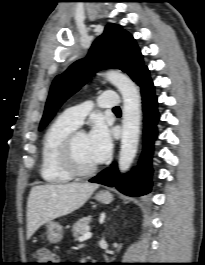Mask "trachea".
<instances>
[{"mask_svg": "<svg viewBox=\"0 0 205 265\" xmlns=\"http://www.w3.org/2000/svg\"><path fill=\"white\" fill-rule=\"evenodd\" d=\"M114 110H120V108L119 107H115Z\"/></svg>", "mask_w": 205, "mask_h": 265, "instance_id": "3493384b", "label": "trachea"}]
</instances>
